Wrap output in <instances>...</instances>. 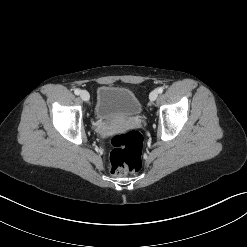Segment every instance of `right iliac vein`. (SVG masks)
I'll return each instance as SVG.
<instances>
[{"mask_svg": "<svg viewBox=\"0 0 247 247\" xmlns=\"http://www.w3.org/2000/svg\"><path fill=\"white\" fill-rule=\"evenodd\" d=\"M80 98H81L83 101H89L90 95H89V93H88L86 90H82V91L80 92Z\"/></svg>", "mask_w": 247, "mask_h": 247, "instance_id": "1", "label": "right iliac vein"}]
</instances>
